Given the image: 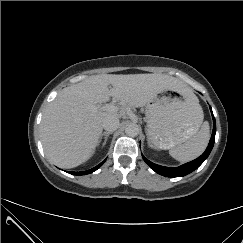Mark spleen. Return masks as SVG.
Instances as JSON below:
<instances>
[{
    "label": "spleen",
    "mask_w": 243,
    "mask_h": 243,
    "mask_svg": "<svg viewBox=\"0 0 243 243\" xmlns=\"http://www.w3.org/2000/svg\"><path fill=\"white\" fill-rule=\"evenodd\" d=\"M198 110L200 114V130L185 141V143L171 148L169 151L170 155L180 162H188L197 158L204 152L208 145L210 139L209 123L207 121L202 122L203 111L199 104Z\"/></svg>",
    "instance_id": "spleen-1"
}]
</instances>
